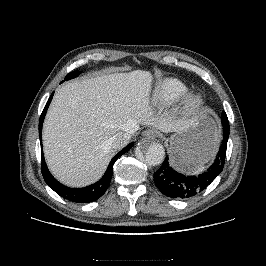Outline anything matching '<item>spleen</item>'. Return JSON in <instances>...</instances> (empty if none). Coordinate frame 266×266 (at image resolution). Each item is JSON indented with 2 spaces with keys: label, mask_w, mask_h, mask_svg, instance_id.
Here are the masks:
<instances>
[{
  "label": "spleen",
  "mask_w": 266,
  "mask_h": 266,
  "mask_svg": "<svg viewBox=\"0 0 266 266\" xmlns=\"http://www.w3.org/2000/svg\"><path fill=\"white\" fill-rule=\"evenodd\" d=\"M205 170L204 166L199 167L197 170L194 171V174L200 173Z\"/></svg>",
  "instance_id": "spleen-1"
}]
</instances>
